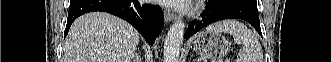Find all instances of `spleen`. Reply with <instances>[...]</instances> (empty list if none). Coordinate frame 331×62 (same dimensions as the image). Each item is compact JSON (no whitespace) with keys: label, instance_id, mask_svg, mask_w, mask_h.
<instances>
[{"label":"spleen","instance_id":"obj_1","mask_svg":"<svg viewBox=\"0 0 331 62\" xmlns=\"http://www.w3.org/2000/svg\"><path fill=\"white\" fill-rule=\"evenodd\" d=\"M208 32L229 33L237 44H242L237 62H262L263 53L257 38L244 24L236 20H224L206 28Z\"/></svg>","mask_w":331,"mask_h":62}]
</instances>
